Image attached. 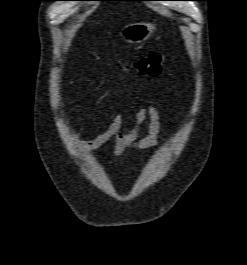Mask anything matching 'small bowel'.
I'll list each match as a JSON object with an SVG mask.
<instances>
[{
    "instance_id": "obj_1",
    "label": "small bowel",
    "mask_w": 247,
    "mask_h": 265,
    "mask_svg": "<svg viewBox=\"0 0 247 265\" xmlns=\"http://www.w3.org/2000/svg\"><path fill=\"white\" fill-rule=\"evenodd\" d=\"M148 119V132L143 138H139L141 125ZM122 116L116 115L113 122L103 133L94 139L82 142L78 146L81 149H96L115 139V148L112 154L114 159L121 157L127 150H139L153 147L157 144L160 130V112L157 107L150 105L138 110L135 114L133 124L127 131H122Z\"/></svg>"
}]
</instances>
